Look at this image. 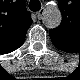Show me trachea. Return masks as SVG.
<instances>
[{
	"instance_id": "3493384b",
	"label": "trachea",
	"mask_w": 80,
	"mask_h": 80,
	"mask_svg": "<svg viewBox=\"0 0 80 80\" xmlns=\"http://www.w3.org/2000/svg\"><path fill=\"white\" fill-rule=\"evenodd\" d=\"M29 9L36 12L41 9V3L38 0H30Z\"/></svg>"
}]
</instances>
